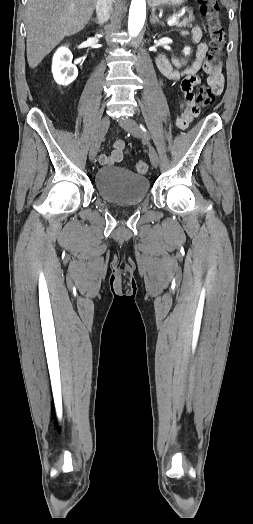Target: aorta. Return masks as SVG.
Wrapping results in <instances>:
<instances>
[{
  "mask_svg": "<svg viewBox=\"0 0 253 524\" xmlns=\"http://www.w3.org/2000/svg\"><path fill=\"white\" fill-rule=\"evenodd\" d=\"M146 17V0H132L129 10L128 31L137 36L142 30Z\"/></svg>",
  "mask_w": 253,
  "mask_h": 524,
  "instance_id": "obj_1",
  "label": "aorta"
}]
</instances>
